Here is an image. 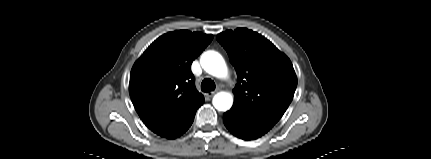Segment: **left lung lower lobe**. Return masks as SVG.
I'll return each instance as SVG.
<instances>
[{
	"label": "left lung lower lobe",
	"mask_w": 431,
	"mask_h": 159,
	"mask_svg": "<svg viewBox=\"0 0 431 159\" xmlns=\"http://www.w3.org/2000/svg\"><path fill=\"white\" fill-rule=\"evenodd\" d=\"M226 128L236 137L253 140L267 133L274 125L241 116L233 110L223 115Z\"/></svg>",
	"instance_id": "left-lung-lower-lobe-1"
}]
</instances>
